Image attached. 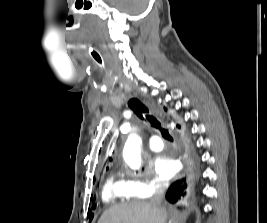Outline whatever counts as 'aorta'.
<instances>
[{"instance_id":"1","label":"aorta","mask_w":267,"mask_h":223,"mask_svg":"<svg viewBox=\"0 0 267 223\" xmlns=\"http://www.w3.org/2000/svg\"><path fill=\"white\" fill-rule=\"evenodd\" d=\"M124 161L131 169H139L141 166V139L136 134L128 136L123 149Z\"/></svg>"}]
</instances>
